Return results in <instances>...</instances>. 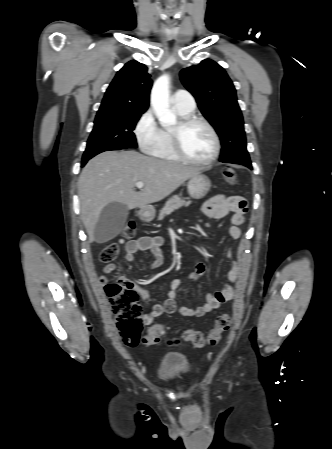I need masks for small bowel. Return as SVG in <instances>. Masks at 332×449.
I'll return each mask as SVG.
<instances>
[{"mask_svg":"<svg viewBox=\"0 0 332 449\" xmlns=\"http://www.w3.org/2000/svg\"><path fill=\"white\" fill-rule=\"evenodd\" d=\"M247 211V201L241 196L217 195L209 199L203 206V213L207 218L220 219L227 215L231 216L232 225L229 227V235L232 239L240 238V227L245 222V215ZM163 242L164 240L161 236H143L137 239L129 240L125 244V260L128 263H132L134 262L135 254L138 251H146L152 256L149 267L151 269H156L162 264L160 247L163 245ZM227 257L230 259V268L228 272L229 283L225 285L221 291L207 293L206 301L201 306H177L176 290L181 285L182 280L179 278L172 279L166 286V300L162 304L155 305L151 312L144 315L145 323L151 324L162 314L176 313L183 317H200L212 312L221 304L231 300L234 295L233 283H235L238 279L241 267L236 260L232 259L230 250L227 251ZM115 268V264L109 263L105 266L104 272L110 273ZM204 270V265L202 263H198L195 271L190 273L185 279L195 281L204 273ZM119 280L127 281L122 271L119 273ZM136 290L144 301H148L150 299L151 295L148 290L138 286H136Z\"/></svg>","mask_w":332,"mask_h":449,"instance_id":"small-bowel-1","label":"small bowel"}]
</instances>
